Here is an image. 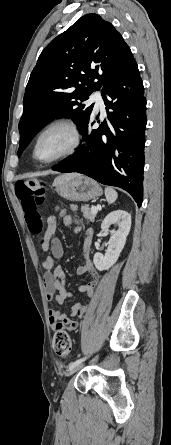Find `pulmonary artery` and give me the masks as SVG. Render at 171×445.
<instances>
[{"label": "pulmonary artery", "instance_id": "1", "mask_svg": "<svg viewBox=\"0 0 171 445\" xmlns=\"http://www.w3.org/2000/svg\"><path fill=\"white\" fill-rule=\"evenodd\" d=\"M90 101L95 104L96 109L104 108V102L100 92L94 93L93 96L90 98Z\"/></svg>", "mask_w": 171, "mask_h": 445}]
</instances>
